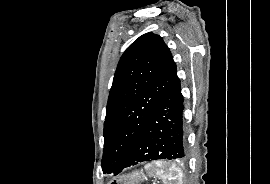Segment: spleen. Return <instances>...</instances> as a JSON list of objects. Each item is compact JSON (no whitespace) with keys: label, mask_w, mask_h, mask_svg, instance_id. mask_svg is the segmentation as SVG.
Masks as SVG:
<instances>
[{"label":"spleen","mask_w":270,"mask_h":184,"mask_svg":"<svg viewBox=\"0 0 270 184\" xmlns=\"http://www.w3.org/2000/svg\"><path fill=\"white\" fill-rule=\"evenodd\" d=\"M145 169L148 175L161 178L163 184H183L182 171L175 164L167 167L162 162L156 161L146 165Z\"/></svg>","instance_id":"obj_1"}]
</instances>
